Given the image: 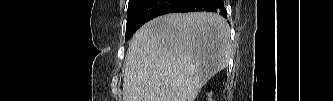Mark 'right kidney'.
Wrapping results in <instances>:
<instances>
[{"label":"right kidney","instance_id":"obj_1","mask_svg":"<svg viewBox=\"0 0 333 101\" xmlns=\"http://www.w3.org/2000/svg\"><path fill=\"white\" fill-rule=\"evenodd\" d=\"M211 95H212V92L208 94V97H209L208 100H209V101H212V99H211Z\"/></svg>","mask_w":333,"mask_h":101}]
</instances>
